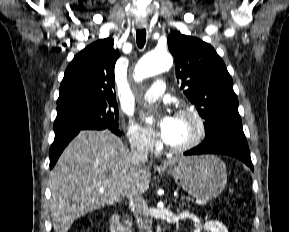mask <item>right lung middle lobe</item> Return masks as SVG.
<instances>
[{
  "label": "right lung middle lobe",
  "mask_w": 289,
  "mask_h": 232,
  "mask_svg": "<svg viewBox=\"0 0 289 232\" xmlns=\"http://www.w3.org/2000/svg\"><path fill=\"white\" fill-rule=\"evenodd\" d=\"M118 127L116 102L74 101L57 107L55 135L76 129H113Z\"/></svg>",
  "instance_id": "right-lung-middle-lobe-1"
}]
</instances>
